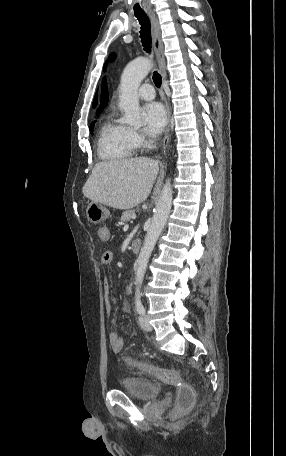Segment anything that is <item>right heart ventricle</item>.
Here are the masks:
<instances>
[{
    "label": "right heart ventricle",
    "instance_id": "obj_1",
    "mask_svg": "<svg viewBox=\"0 0 286 456\" xmlns=\"http://www.w3.org/2000/svg\"><path fill=\"white\" fill-rule=\"evenodd\" d=\"M136 149L131 130L109 118L101 127L97 141L98 156L105 161L129 159Z\"/></svg>",
    "mask_w": 286,
    "mask_h": 456
}]
</instances>
